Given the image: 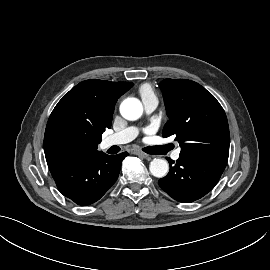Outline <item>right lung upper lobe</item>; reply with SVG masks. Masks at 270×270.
Returning a JSON list of instances; mask_svg holds the SVG:
<instances>
[{
  "instance_id": "cb5924a9",
  "label": "right lung upper lobe",
  "mask_w": 270,
  "mask_h": 270,
  "mask_svg": "<svg viewBox=\"0 0 270 270\" xmlns=\"http://www.w3.org/2000/svg\"><path fill=\"white\" fill-rule=\"evenodd\" d=\"M133 86L131 82L90 79L80 82L65 94L53 109L45 130L44 152L48 167L97 152L102 133L111 127L117 99ZM66 131L84 136V143L66 150L60 137Z\"/></svg>"
}]
</instances>
